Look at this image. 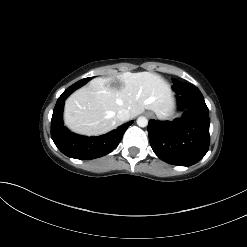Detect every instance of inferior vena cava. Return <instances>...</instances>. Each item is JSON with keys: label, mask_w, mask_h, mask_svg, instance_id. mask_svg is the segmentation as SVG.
Listing matches in <instances>:
<instances>
[{"label": "inferior vena cava", "mask_w": 247, "mask_h": 247, "mask_svg": "<svg viewBox=\"0 0 247 247\" xmlns=\"http://www.w3.org/2000/svg\"><path fill=\"white\" fill-rule=\"evenodd\" d=\"M117 118L120 121H127L130 119V112L127 109H121L117 112Z\"/></svg>", "instance_id": "602c4592"}]
</instances>
